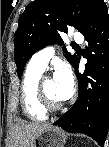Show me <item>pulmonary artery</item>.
Instances as JSON below:
<instances>
[{
  "label": "pulmonary artery",
  "instance_id": "obj_1",
  "mask_svg": "<svg viewBox=\"0 0 109 147\" xmlns=\"http://www.w3.org/2000/svg\"><path fill=\"white\" fill-rule=\"evenodd\" d=\"M73 39L77 43H82L84 40L83 35L81 33L74 34ZM54 54H55V47L52 45L44 49H41L31 57L29 61V66L38 69L40 71H44L51 58L54 56Z\"/></svg>",
  "mask_w": 109,
  "mask_h": 147
}]
</instances>
